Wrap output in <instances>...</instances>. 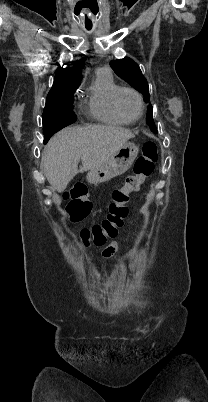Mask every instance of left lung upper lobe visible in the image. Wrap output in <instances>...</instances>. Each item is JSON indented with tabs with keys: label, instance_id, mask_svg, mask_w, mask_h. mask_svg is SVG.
I'll return each mask as SVG.
<instances>
[{
	"label": "left lung upper lobe",
	"instance_id": "5c2ea615",
	"mask_svg": "<svg viewBox=\"0 0 208 402\" xmlns=\"http://www.w3.org/2000/svg\"><path fill=\"white\" fill-rule=\"evenodd\" d=\"M110 65L114 72L125 80L128 84L139 90L146 102H149V86L147 80L143 76L138 64L130 58H123L119 60H112ZM150 129L152 132L157 133V129L153 120V108L149 107V116L147 118Z\"/></svg>",
	"mask_w": 208,
	"mask_h": 402
}]
</instances>
